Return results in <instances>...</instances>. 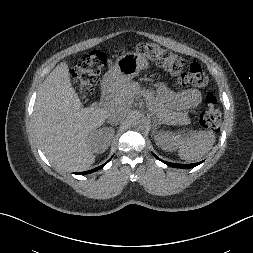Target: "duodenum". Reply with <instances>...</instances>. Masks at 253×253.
Returning <instances> with one entry per match:
<instances>
[{"instance_id":"obj_1","label":"duodenum","mask_w":253,"mask_h":253,"mask_svg":"<svg viewBox=\"0 0 253 253\" xmlns=\"http://www.w3.org/2000/svg\"><path fill=\"white\" fill-rule=\"evenodd\" d=\"M114 79L113 77L104 80L102 85L101 105L104 108H110L113 105Z\"/></svg>"}]
</instances>
